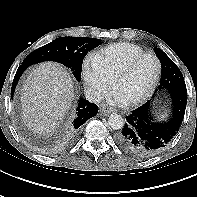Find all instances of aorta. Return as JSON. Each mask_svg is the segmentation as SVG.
<instances>
[{"instance_id": "obj_1", "label": "aorta", "mask_w": 197, "mask_h": 197, "mask_svg": "<svg viewBox=\"0 0 197 197\" xmlns=\"http://www.w3.org/2000/svg\"><path fill=\"white\" fill-rule=\"evenodd\" d=\"M108 125L110 128L114 130L122 129L124 126V119L121 115L118 114H112L108 118Z\"/></svg>"}]
</instances>
